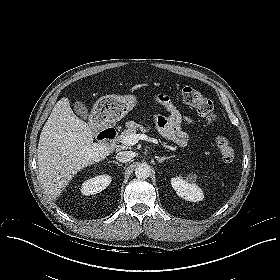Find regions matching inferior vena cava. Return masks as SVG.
<instances>
[{
  "mask_svg": "<svg viewBox=\"0 0 280 280\" xmlns=\"http://www.w3.org/2000/svg\"><path fill=\"white\" fill-rule=\"evenodd\" d=\"M134 156H135L134 152H132V151H121V152L117 153L116 159L119 162L126 163V162H129L132 158H134Z\"/></svg>",
  "mask_w": 280,
  "mask_h": 280,
  "instance_id": "602c4592",
  "label": "inferior vena cava"
}]
</instances>
